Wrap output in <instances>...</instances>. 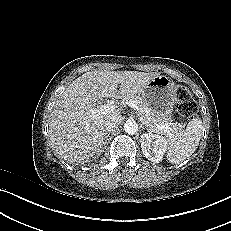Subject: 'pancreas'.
I'll use <instances>...</instances> for the list:
<instances>
[{
  "instance_id": "obj_1",
  "label": "pancreas",
  "mask_w": 231,
  "mask_h": 231,
  "mask_svg": "<svg viewBox=\"0 0 231 231\" xmlns=\"http://www.w3.org/2000/svg\"><path fill=\"white\" fill-rule=\"evenodd\" d=\"M124 101H135L139 111L138 116L140 117L141 122L145 125L150 131L155 133H161L163 131L159 130L158 127L162 125H168L171 130L169 131L171 135L177 136L182 133V126L178 123H171L167 118L152 112L149 108L140 100L138 97L131 96L124 98Z\"/></svg>"
}]
</instances>
